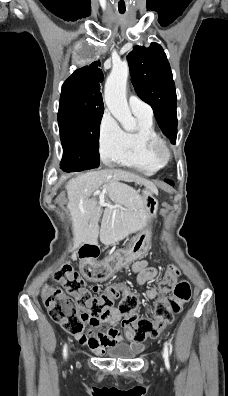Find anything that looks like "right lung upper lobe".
Here are the masks:
<instances>
[{
    "label": "right lung upper lobe",
    "instance_id": "1",
    "mask_svg": "<svg viewBox=\"0 0 228 396\" xmlns=\"http://www.w3.org/2000/svg\"><path fill=\"white\" fill-rule=\"evenodd\" d=\"M100 60L77 69L62 85L61 95L70 96L86 108H104L100 84L103 73Z\"/></svg>",
    "mask_w": 228,
    "mask_h": 396
}]
</instances>
